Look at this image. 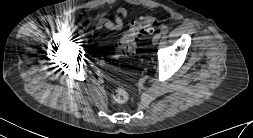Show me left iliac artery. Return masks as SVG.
Here are the masks:
<instances>
[{
  "label": "left iliac artery",
  "instance_id": "left-iliac-artery-1",
  "mask_svg": "<svg viewBox=\"0 0 253 138\" xmlns=\"http://www.w3.org/2000/svg\"><path fill=\"white\" fill-rule=\"evenodd\" d=\"M167 33H168V28H167L166 26H163V27L161 28V34L165 35V34H167Z\"/></svg>",
  "mask_w": 253,
  "mask_h": 138
}]
</instances>
